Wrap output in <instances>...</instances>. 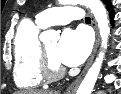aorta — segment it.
<instances>
[{"instance_id": "obj_1", "label": "aorta", "mask_w": 121, "mask_h": 94, "mask_svg": "<svg viewBox=\"0 0 121 94\" xmlns=\"http://www.w3.org/2000/svg\"><path fill=\"white\" fill-rule=\"evenodd\" d=\"M60 4H82L88 7L94 15L101 36V47L107 48L108 37L110 34L109 20L107 11L101 0H59ZM59 34L55 30H47L40 35V39L46 42L51 39H58ZM104 60V52H100L93 65L88 70L86 76L81 82L77 94H91L96 80L98 78L101 66Z\"/></svg>"}]
</instances>
